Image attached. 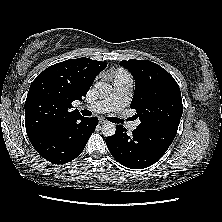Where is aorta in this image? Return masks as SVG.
Here are the masks:
<instances>
[{"label": "aorta", "instance_id": "1", "mask_svg": "<svg viewBox=\"0 0 222 222\" xmlns=\"http://www.w3.org/2000/svg\"><path fill=\"white\" fill-rule=\"evenodd\" d=\"M95 88L97 92L103 97L107 96L112 91V86L110 84L101 81L95 84ZM115 132L116 127L115 124L112 122H107L102 126V134L105 137L112 136L115 134Z\"/></svg>", "mask_w": 222, "mask_h": 222}]
</instances>
